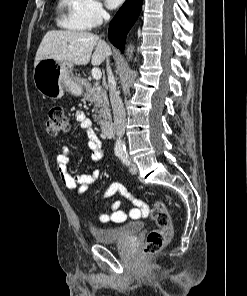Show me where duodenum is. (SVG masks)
<instances>
[{"label":"duodenum","mask_w":247,"mask_h":296,"mask_svg":"<svg viewBox=\"0 0 247 296\" xmlns=\"http://www.w3.org/2000/svg\"><path fill=\"white\" fill-rule=\"evenodd\" d=\"M100 128H101L102 133L106 137H113L114 136L115 125H114L113 120L105 119V120L101 121Z\"/></svg>","instance_id":"1"}]
</instances>
